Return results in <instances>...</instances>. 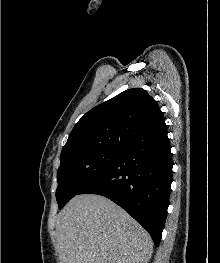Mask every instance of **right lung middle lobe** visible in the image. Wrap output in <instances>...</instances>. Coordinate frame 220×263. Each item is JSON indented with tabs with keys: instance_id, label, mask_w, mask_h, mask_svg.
Wrapping results in <instances>:
<instances>
[{
	"instance_id": "obj_1",
	"label": "right lung middle lobe",
	"mask_w": 220,
	"mask_h": 263,
	"mask_svg": "<svg viewBox=\"0 0 220 263\" xmlns=\"http://www.w3.org/2000/svg\"><path fill=\"white\" fill-rule=\"evenodd\" d=\"M123 151V149L113 148H92L70 151L61 155L56 190L59 209L88 183L117 162Z\"/></svg>"
}]
</instances>
